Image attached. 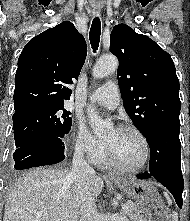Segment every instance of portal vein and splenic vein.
I'll use <instances>...</instances> for the list:
<instances>
[{
	"mask_svg": "<svg viewBox=\"0 0 190 221\" xmlns=\"http://www.w3.org/2000/svg\"><path fill=\"white\" fill-rule=\"evenodd\" d=\"M122 209L123 210H128L129 209V206L127 204H123L122 205ZM57 221H63V219H58Z\"/></svg>",
	"mask_w": 190,
	"mask_h": 221,
	"instance_id": "18ae733b",
	"label": "portal vein and splenic vein"
}]
</instances>
